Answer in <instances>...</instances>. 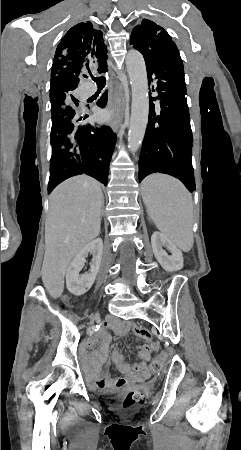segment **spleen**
Wrapping results in <instances>:
<instances>
[{
    "mask_svg": "<svg viewBox=\"0 0 241 450\" xmlns=\"http://www.w3.org/2000/svg\"><path fill=\"white\" fill-rule=\"evenodd\" d=\"M142 200L156 228L182 252L193 248L192 196L184 184L167 176L151 174L141 184Z\"/></svg>",
    "mask_w": 241,
    "mask_h": 450,
    "instance_id": "spleen-1",
    "label": "spleen"
}]
</instances>
